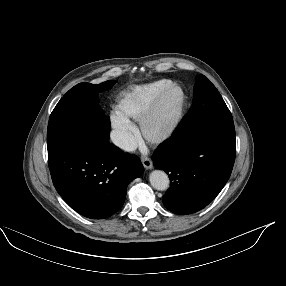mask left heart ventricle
Listing matches in <instances>:
<instances>
[{
  "instance_id": "obj_1",
  "label": "left heart ventricle",
  "mask_w": 286,
  "mask_h": 286,
  "mask_svg": "<svg viewBox=\"0 0 286 286\" xmlns=\"http://www.w3.org/2000/svg\"><path fill=\"white\" fill-rule=\"evenodd\" d=\"M181 103V92L175 90L167 95L149 126L151 133L162 131L174 118Z\"/></svg>"
}]
</instances>
